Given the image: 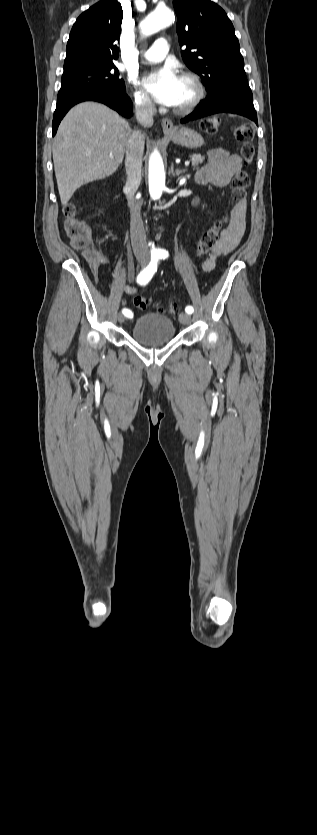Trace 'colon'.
<instances>
[{
	"label": "colon",
	"mask_w": 317,
	"mask_h": 835,
	"mask_svg": "<svg viewBox=\"0 0 317 835\" xmlns=\"http://www.w3.org/2000/svg\"><path fill=\"white\" fill-rule=\"evenodd\" d=\"M220 120L210 117L201 122V129L207 134H215L218 131ZM234 136L240 143V154L245 165H249L255 158L253 146L254 129L248 124H240L234 128ZM250 185L249 175L246 171H239L232 180L231 198L234 207L243 206L246 202L248 187ZM64 228L72 247L81 251L86 258L92 259L96 253L93 247V240L88 226L78 217L77 208L74 203H68L63 208ZM227 223V217H222L205 230L194 248L198 257L208 254L219 242L220 231ZM133 303L138 309H146L148 301L144 296L138 295ZM175 307H169L174 312Z\"/></svg>",
	"instance_id": "colon-1"
}]
</instances>
